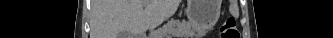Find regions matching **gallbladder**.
Here are the masks:
<instances>
[{
	"label": "gallbladder",
	"mask_w": 333,
	"mask_h": 38,
	"mask_svg": "<svg viewBox=\"0 0 333 38\" xmlns=\"http://www.w3.org/2000/svg\"><path fill=\"white\" fill-rule=\"evenodd\" d=\"M118 38H131V34L129 32H121Z\"/></svg>",
	"instance_id": "1"
}]
</instances>
